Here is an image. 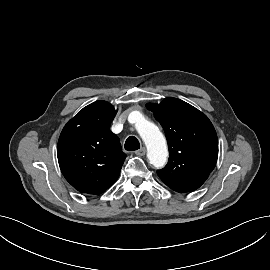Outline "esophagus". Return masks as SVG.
<instances>
[{
    "label": "esophagus",
    "mask_w": 270,
    "mask_h": 270,
    "mask_svg": "<svg viewBox=\"0 0 270 270\" xmlns=\"http://www.w3.org/2000/svg\"><path fill=\"white\" fill-rule=\"evenodd\" d=\"M135 154L137 156H144L146 154V148L145 147L140 148L139 150L135 151Z\"/></svg>",
    "instance_id": "34e87169"
}]
</instances>
